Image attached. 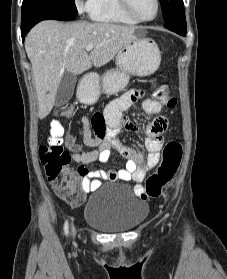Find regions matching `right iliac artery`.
I'll use <instances>...</instances> for the list:
<instances>
[{"label":"right iliac artery","instance_id":"1","mask_svg":"<svg viewBox=\"0 0 227 279\" xmlns=\"http://www.w3.org/2000/svg\"><path fill=\"white\" fill-rule=\"evenodd\" d=\"M64 231H65V234L67 235L68 234V222L67 221L65 222Z\"/></svg>","mask_w":227,"mask_h":279}]
</instances>
